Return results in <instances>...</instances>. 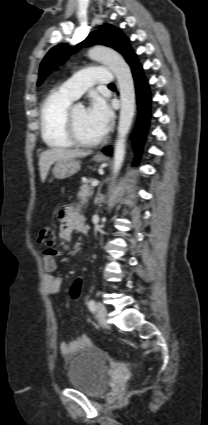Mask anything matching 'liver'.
I'll use <instances>...</instances> for the list:
<instances>
[{
  "mask_svg": "<svg viewBox=\"0 0 208 425\" xmlns=\"http://www.w3.org/2000/svg\"><path fill=\"white\" fill-rule=\"evenodd\" d=\"M91 151H82L78 149L52 148L40 154L39 170L41 181L44 182L51 165L63 159H75L78 157H86Z\"/></svg>",
  "mask_w": 208,
  "mask_h": 425,
  "instance_id": "1",
  "label": "liver"
}]
</instances>
